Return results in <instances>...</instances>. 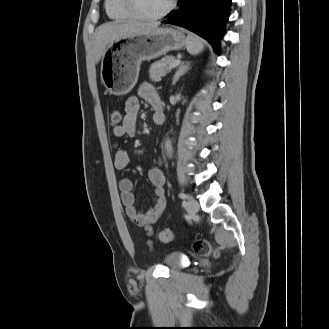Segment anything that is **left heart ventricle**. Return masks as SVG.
Returning <instances> with one entry per match:
<instances>
[{
  "mask_svg": "<svg viewBox=\"0 0 329 329\" xmlns=\"http://www.w3.org/2000/svg\"><path fill=\"white\" fill-rule=\"evenodd\" d=\"M170 0H136L137 7L145 15H156L162 12Z\"/></svg>",
  "mask_w": 329,
  "mask_h": 329,
  "instance_id": "b2bd125f",
  "label": "left heart ventricle"
}]
</instances>
